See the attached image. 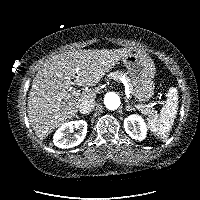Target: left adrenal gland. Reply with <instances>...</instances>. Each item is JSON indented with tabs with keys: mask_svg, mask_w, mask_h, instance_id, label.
<instances>
[{
	"mask_svg": "<svg viewBox=\"0 0 200 200\" xmlns=\"http://www.w3.org/2000/svg\"><path fill=\"white\" fill-rule=\"evenodd\" d=\"M125 102H126V107H125L126 111L135 110V108L132 107V106L129 104L128 100H125Z\"/></svg>",
	"mask_w": 200,
	"mask_h": 200,
	"instance_id": "left-adrenal-gland-1",
	"label": "left adrenal gland"
}]
</instances>
